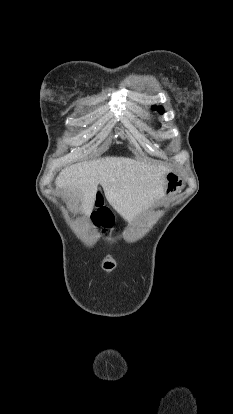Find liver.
Masks as SVG:
<instances>
[{"label":"liver","instance_id":"6515ba94","mask_svg":"<svg viewBox=\"0 0 233 414\" xmlns=\"http://www.w3.org/2000/svg\"><path fill=\"white\" fill-rule=\"evenodd\" d=\"M169 170L165 165L106 157L62 169L56 178V186L79 194L82 211L89 215L100 184L110 205L130 222L163 196Z\"/></svg>","mask_w":233,"mask_h":414}]
</instances>
